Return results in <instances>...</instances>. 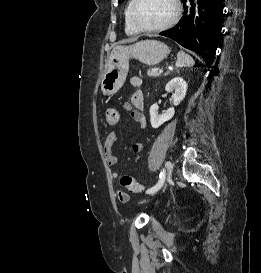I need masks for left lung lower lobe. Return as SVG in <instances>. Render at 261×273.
<instances>
[{
    "label": "left lung lower lobe",
    "instance_id": "0a47b994",
    "mask_svg": "<svg viewBox=\"0 0 261 273\" xmlns=\"http://www.w3.org/2000/svg\"><path fill=\"white\" fill-rule=\"evenodd\" d=\"M184 2V16L172 29L160 35L178 42L183 47L200 54L208 67L214 61L218 38L222 28L223 0H197L189 8Z\"/></svg>",
    "mask_w": 261,
    "mask_h": 273
}]
</instances>
